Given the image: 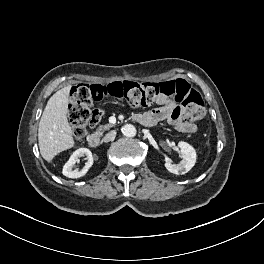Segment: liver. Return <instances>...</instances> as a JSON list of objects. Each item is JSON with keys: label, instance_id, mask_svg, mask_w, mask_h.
<instances>
[{"label": "liver", "instance_id": "6515ba94", "mask_svg": "<svg viewBox=\"0 0 264 264\" xmlns=\"http://www.w3.org/2000/svg\"><path fill=\"white\" fill-rule=\"evenodd\" d=\"M71 87L68 85L51 96L39 122V149L47 162H51L57 154L75 144L72 128L67 120Z\"/></svg>", "mask_w": 264, "mask_h": 264}]
</instances>
